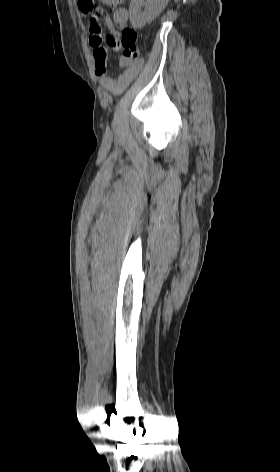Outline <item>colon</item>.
Here are the masks:
<instances>
[{"label": "colon", "mask_w": 280, "mask_h": 472, "mask_svg": "<svg viewBox=\"0 0 280 472\" xmlns=\"http://www.w3.org/2000/svg\"><path fill=\"white\" fill-rule=\"evenodd\" d=\"M83 2H84L83 5L87 9L93 10V0H87ZM96 21H97V17L93 16L91 19V22L95 23ZM136 41H137V33L133 28L127 27L122 31V34L120 36V45L123 49L124 56L128 58H136L138 56Z\"/></svg>", "instance_id": "colon-1"}]
</instances>
